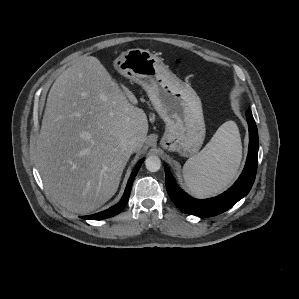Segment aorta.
I'll return each instance as SVG.
<instances>
[{
  "label": "aorta",
  "mask_w": 299,
  "mask_h": 299,
  "mask_svg": "<svg viewBox=\"0 0 299 299\" xmlns=\"http://www.w3.org/2000/svg\"><path fill=\"white\" fill-rule=\"evenodd\" d=\"M146 169L150 172H157L161 168V160L157 156H149L145 160Z\"/></svg>",
  "instance_id": "1"
}]
</instances>
